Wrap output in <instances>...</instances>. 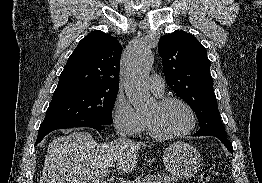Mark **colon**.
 <instances>
[{
  "mask_svg": "<svg viewBox=\"0 0 262 183\" xmlns=\"http://www.w3.org/2000/svg\"><path fill=\"white\" fill-rule=\"evenodd\" d=\"M211 178L208 173H202L199 177V183H210Z\"/></svg>",
  "mask_w": 262,
  "mask_h": 183,
  "instance_id": "obj_1",
  "label": "colon"
}]
</instances>
